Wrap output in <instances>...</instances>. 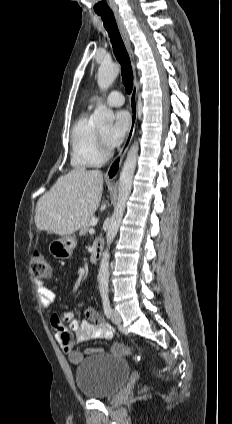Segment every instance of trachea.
<instances>
[{
  "instance_id": "3493384b",
  "label": "trachea",
  "mask_w": 232,
  "mask_h": 424,
  "mask_svg": "<svg viewBox=\"0 0 232 424\" xmlns=\"http://www.w3.org/2000/svg\"><path fill=\"white\" fill-rule=\"evenodd\" d=\"M97 14L101 16L104 27L106 28L109 34L114 54L118 62L121 64L123 84L127 93L129 94L133 89V72L130 58L119 33L115 17L112 12H99Z\"/></svg>"
}]
</instances>
